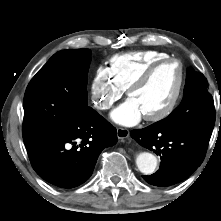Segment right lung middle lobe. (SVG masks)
I'll use <instances>...</instances> for the list:
<instances>
[{"instance_id":"right-lung-middle-lobe-1","label":"right lung middle lobe","mask_w":221,"mask_h":221,"mask_svg":"<svg viewBox=\"0 0 221 221\" xmlns=\"http://www.w3.org/2000/svg\"><path fill=\"white\" fill-rule=\"evenodd\" d=\"M89 49L54 54L30 81L24 97L23 136L73 124L88 109Z\"/></svg>"}]
</instances>
